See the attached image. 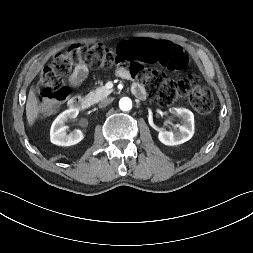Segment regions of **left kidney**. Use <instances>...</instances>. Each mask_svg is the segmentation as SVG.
<instances>
[{
    "label": "left kidney",
    "instance_id": "obj_1",
    "mask_svg": "<svg viewBox=\"0 0 253 253\" xmlns=\"http://www.w3.org/2000/svg\"><path fill=\"white\" fill-rule=\"evenodd\" d=\"M169 112L174 116L181 118L182 124L179 126V131L176 133L159 130L158 139L161 143L167 146L182 144L192 138L194 134V115L186 108H170Z\"/></svg>",
    "mask_w": 253,
    "mask_h": 253
}]
</instances>
